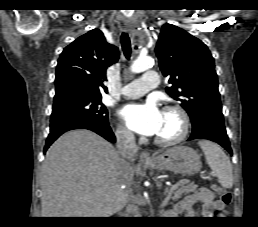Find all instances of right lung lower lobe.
<instances>
[{"label": "right lung lower lobe", "instance_id": "obj_1", "mask_svg": "<svg viewBox=\"0 0 258 227\" xmlns=\"http://www.w3.org/2000/svg\"><path fill=\"white\" fill-rule=\"evenodd\" d=\"M79 128L94 131L112 143L116 141L114 133L109 125L94 124L91 121L74 115L57 114L51 116L50 133L46 141L44 153L48 147L64 132Z\"/></svg>", "mask_w": 258, "mask_h": 227}]
</instances>
